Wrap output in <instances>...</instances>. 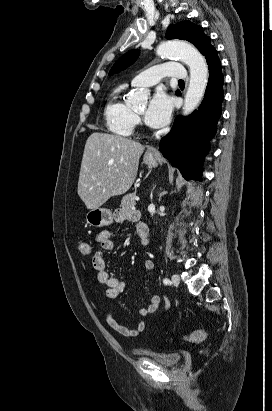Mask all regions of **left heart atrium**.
Instances as JSON below:
<instances>
[{
    "label": "left heart atrium",
    "mask_w": 272,
    "mask_h": 411,
    "mask_svg": "<svg viewBox=\"0 0 272 411\" xmlns=\"http://www.w3.org/2000/svg\"><path fill=\"white\" fill-rule=\"evenodd\" d=\"M172 108V99L164 91H157L151 98L146 110V124L153 128L165 126L170 120Z\"/></svg>",
    "instance_id": "1"
}]
</instances>
